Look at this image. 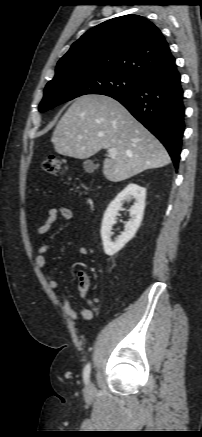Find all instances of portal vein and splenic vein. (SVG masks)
Returning a JSON list of instances; mask_svg holds the SVG:
<instances>
[{"label":"portal vein and splenic vein","instance_id":"portal-vein-and-splenic-vein-1","mask_svg":"<svg viewBox=\"0 0 202 437\" xmlns=\"http://www.w3.org/2000/svg\"><path fill=\"white\" fill-rule=\"evenodd\" d=\"M109 156L115 157L116 156V150L115 149H109Z\"/></svg>","mask_w":202,"mask_h":437}]
</instances>
